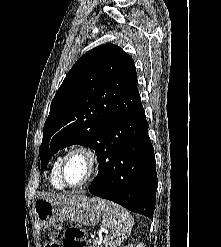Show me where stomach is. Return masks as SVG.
Masks as SVG:
<instances>
[{"label": "stomach", "instance_id": "1", "mask_svg": "<svg viewBox=\"0 0 221 247\" xmlns=\"http://www.w3.org/2000/svg\"><path fill=\"white\" fill-rule=\"evenodd\" d=\"M104 202L99 198H89L84 195L42 197L35 201L34 211L44 228L63 220L93 226L101 218V204Z\"/></svg>", "mask_w": 221, "mask_h": 247}]
</instances>
